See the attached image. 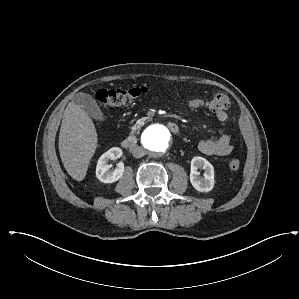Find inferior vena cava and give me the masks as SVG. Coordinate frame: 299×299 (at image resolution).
<instances>
[{"label":"inferior vena cava","instance_id":"inferior-vena-cava-1","mask_svg":"<svg viewBox=\"0 0 299 299\" xmlns=\"http://www.w3.org/2000/svg\"><path fill=\"white\" fill-rule=\"evenodd\" d=\"M132 155L135 157V158H141L145 155V151L142 147L140 146H134L132 148Z\"/></svg>","mask_w":299,"mask_h":299}]
</instances>
